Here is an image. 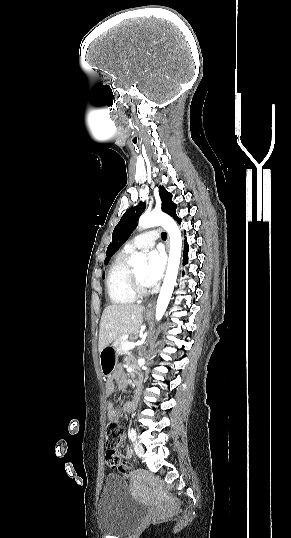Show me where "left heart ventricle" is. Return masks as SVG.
I'll list each match as a JSON object with an SVG mask.
<instances>
[{
    "label": "left heart ventricle",
    "instance_id": "b2bd125f",
    "mask_svg": "<svg viewBox=\"0 0 291 538\" xmlns=\"http://www.w3.org/2000/svg\"><path fill=\"white\" fill-rule=\"evenodd\" d=\"M135 275L137 276V278L139 279L140 283L144 286V287H147V285L145 284L144 282V271H145V267L144 266H141L139 268H135L133 269Z\"/></svg>",
    "mask_w": 291,
    "mask_h": 538
}]
</instances>
